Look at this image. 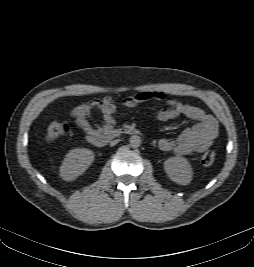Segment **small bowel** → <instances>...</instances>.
Wrapping results in <instances>:
<instances>
[{
    "label": "small bowel",
    "mask_w": 254,
    "mask_h": 267,
    "mask_svg": "<svg viewBox=\"0 0 254 267\" xmlns=\"http://www.w3.org/2000/svg\"><path fill=\"white\" fill-rule=\"evenodd\" d=\"M152 99L164 101L167 105V108L161 109L157 114V118L160 121H169L179 116H185L197 122L191 128L185 129L175 139H161L159 147L162 151L188 155L203 152L211 146L218 133V123L212 115L207 114L197 106L182 103L166 97L161 92L152 91H142L128 95L122 99V103L127 108H134ZM93 110L101 113L103 117V124L101 126L90 122L89 116ZM116 110L115 100L110 96H106L99 100L77 105L72 110V116L75 118L78 127L90 136L112 130L116 123L114 117Z\"/></svg>",
    "instance_id": "1"
}]
</instances>
